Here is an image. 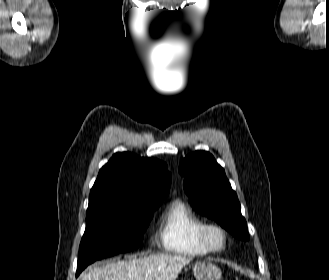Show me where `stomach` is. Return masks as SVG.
<instances>
[{"mask_svg": "<svg viewBox=\"0 0 329 280\" xmlns=\"http://www.w3.org/2000/svg\"><path fill=\"white\" fill-rule=\"evenodd\" d=\"M192 269L196 280L221 279V270L212 262H197Z\"/></svg>", "mask_w": 329, "mask_h": 280, "instance_id": "1", "label": "stomach"}]
</instances>
